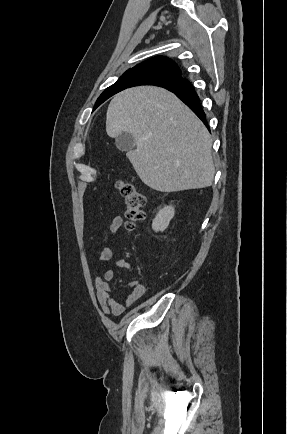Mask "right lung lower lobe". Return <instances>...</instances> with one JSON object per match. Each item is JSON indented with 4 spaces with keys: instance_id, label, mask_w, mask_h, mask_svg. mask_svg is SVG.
<instances>
[{
    "instance_id": "right-lung-lower-lobe-1",
    "label": "right lung lower lobe",
    "mask_w": 287,
    "mask_h": 434,
    "mask_svg": "<svg viewBox=\"0 0 287 434\" xmlns=\"http://www.w3.org/2000/svg\"><path fill=\"white\" fill-rule=\"evenodd\" d=\"M163 87L176 94L208 127L206 114L202 109L199 97L187 79H182Z\"/></svg>"
}]
</instances>
